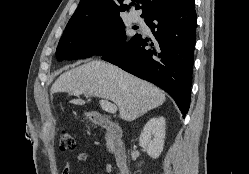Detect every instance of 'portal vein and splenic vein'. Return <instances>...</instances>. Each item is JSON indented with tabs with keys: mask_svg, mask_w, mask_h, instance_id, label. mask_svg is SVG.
Listing matches in <instances>:
<instances>
[{
	"mask_svg": "<svg viewBox=\"0 0 249 174\" xmlns=\"http://www.w3.org/2000/svg\"><path fill=\"white\" fill-rule=\"evenodd\" d=\"M100 106L103 110H105L108 113L114 114L117 112V106L115 104L110 103L107 100H100Z\"/></svg>",
	"mask_w": 249,
	"mask_h": 174,
	"instance_id": "portal-vein-and-splenic-vein-1",
	"label": "portal vein and splenic vein"
}]
</instances>
